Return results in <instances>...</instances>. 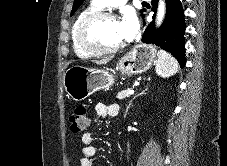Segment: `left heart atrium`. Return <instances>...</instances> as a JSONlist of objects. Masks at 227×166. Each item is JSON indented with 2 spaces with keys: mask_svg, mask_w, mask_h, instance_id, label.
I'll return each instance as SVG.
<instances>
[{
  "mask_svg": "<svg viewBox=\"0 0 227 166\" xmlns=\"http://www.w3.org/2000/svg\"><path fill=\"white\" fill-rule=\"evenodd\" d=\"M121 23L124 38L132 39L136 35L139 27L138 20L135 14H127Z\"/></svg>",
  "mask_w": 227,
  "mask_h": 166,
  "instance_id": "1",
  "label": "left heart atrium"
}]
</instances>
